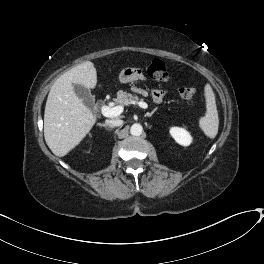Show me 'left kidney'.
<instances>
[{
    "instance_id": "1",
    "label": "left kidney",
    "mask_w": 264,
    "mask_h": 264,
    "mask_svg": "<svg viewBox=\"0 0 264 264\" xmlns=\"http://www.w3.org/2000/svg\"><path fill=\"white\" fill-rule=\"evenodd\" d=\"M170 134L175 141L183 146H189L192 142V137L188 131L181 127H171Z\"/></svg>"
}]
</instances>
